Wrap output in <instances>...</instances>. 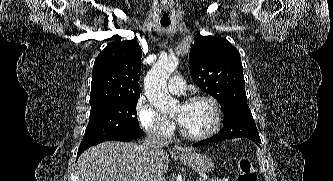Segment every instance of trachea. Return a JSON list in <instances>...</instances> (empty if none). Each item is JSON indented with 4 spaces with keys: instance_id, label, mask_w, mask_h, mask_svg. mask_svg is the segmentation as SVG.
<instances>
[{
    "instance_id": "obj_1",
    "label": "trachea",
    "mask_w": 333,
    "mask_h": 181,
    "mask_svg": "<svg viewBox=\"0 0 333 181\" xmlns=\"http://www.w3.org/2000/svg\"><path fill=\"white\" fill-rule=\"evenodd\" d=\"M170 24V21H161V25L167 27Z\"/></svg>"
}]
</instances>
